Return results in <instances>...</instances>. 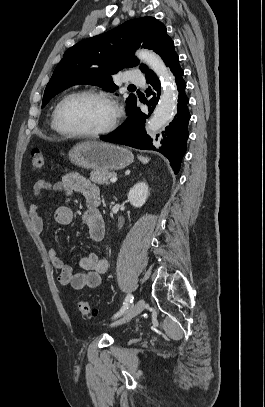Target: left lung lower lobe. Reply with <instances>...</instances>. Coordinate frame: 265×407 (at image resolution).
<instances>
[{
	"mask_svg": "<svg viewBox=\"0 0 265 407\" xmlns=\"http://www.w3.org/2000/svg\"><path fill=\"white\" fill-rule=\"evenodd\" d=\"M175 76L178 87L177 114L173 121L165 128L161 135L152 142V139L145 132V120L152 113L160 97V81L156 75L146 76L147 83L150 84L147 91L148 96L152 95L149 106V114L141 112L139 107H135L129 114L126 121L112 134L102 136L101 140L131 146L138 149L155 150L162 153L171 163L174 172L177 174L181 160L186 152V144L189 136L188 122L190 113L188 110L189 99L185 93L186 83L183 79V70L179 65V59L170 68Z\"/></svg>",
	"mask_w": 265,
	"mask_h": 407,
	"instance_id": "obj_1",
	"label": "left lung lower lobe"
}]
</instances>
